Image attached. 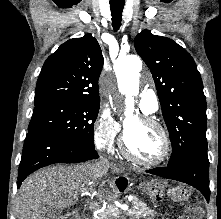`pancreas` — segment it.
<instances>
[{
	"label": "pancreas",
	"mask_w": 221,
	"mask_h": 219,
	"mask_svg": "<svg viewBox=\"0 0 221 219\" xmlns=\"http://www.w3.org/2000/svg\"><path fill=\"white\" fill-rule=\"evenodd\" d=\"M130 212L127 215L135 217L136 219L146 218L151 219L156 215V212L147 207V205L140 201L138 198H134L131 204ZM120 211L114 206H108L98 216L99 219H116Z\"/></svg>",
	"instance_id": "obj_1"
}]
</instances>
